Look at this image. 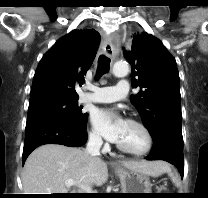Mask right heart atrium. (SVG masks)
<instances>
[{
  "label": "right heart atrium",
  "mask_w": 208,
  "mask_h": 198,
  "mask_svg": "<svg viewBox=\"0 0 208 198\" xmlns=\"http://www.w3.org/2000/svg\"><path fill=\"white\" fill-rule=\"evenodd\" d=\"M89 140L93 145H96V146H100L103 143L102 138L95 130L90 131Z\"/></svg>",
  "instance_id": "obj_1"
}]
</instances>
